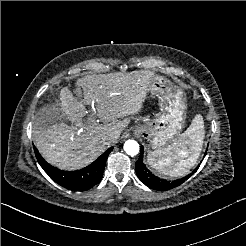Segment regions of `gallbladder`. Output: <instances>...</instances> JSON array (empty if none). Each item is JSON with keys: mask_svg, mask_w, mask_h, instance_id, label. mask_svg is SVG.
Here are the masks:
<instances>
[{"mask_svg": "<svg viewBox=\"0 0 246 246\" xmlns=\"http://www.w3.org/2000/svg\"><path fill=\"white\" fill-rule=\"evenodd\" d=\"M60 107L58 105H45L40 108L37 117L39 115H43L47 119H54L55 122H62L66 120V116L61 112L58 111Z\"/></svg>", "mask_w": 246, "mask_h": 246, "instance_id": "1", "label": "gallbladder"}]
</instances>
